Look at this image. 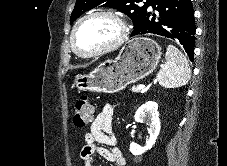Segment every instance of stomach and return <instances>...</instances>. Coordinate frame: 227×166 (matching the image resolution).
<instances>
[{
	"instance_id": "0dacf381",
	"label": "stomach",
	"mask_w": 227,
	"mask_h": 166,
	"mask_svg": "<svg viewBox=\"0 0 227 166\" xmlns=\"http://www.w3.org/2000/svg\"><path fill=\"white\" fill-rule=\"evenodd\" d=\"M161 47L147 37L130 40L113 60H106L87 75H76L73 86L79 92L116 93L148 76L157 67Z\"/></svg>"
}]
</instances>
